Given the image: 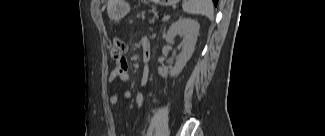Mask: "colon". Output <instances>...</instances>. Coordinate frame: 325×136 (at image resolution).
<instances>
[{
    "label": "colon",
    "instance_id": "obj_1",
    "mask_svg": "<svg viewBox=\"0 0 325 136\" xmlns=\"http://www.w3.org/2000/svg\"><path fill=\"white\" fill-rule=\"evenodd\" d=\"M126 49V43L120 38H115L110 49L111 57L117 61L123 60Z\"/></svg>",
    "mask_w": 325,
    "mask_h": 136
}]
</instances>
